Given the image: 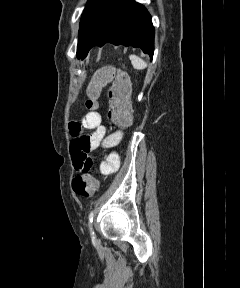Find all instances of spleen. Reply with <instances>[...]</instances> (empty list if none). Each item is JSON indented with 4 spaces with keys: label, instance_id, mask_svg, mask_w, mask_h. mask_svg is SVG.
<instances>
[{
    "label": "spleen",
    "instance_id": "3e777b00",
    "mask_svg": "<svg viewBox=\"0 0 240 288\" xmlns=\"http://www.w3.org/2000/svg\"><path fill=\"white\" fill-rule=\"evenodd\" d=\"M129 58L135 69L141 70L147 67V63L144 60H142L140 57L136 55H130Z\"/></svg>",
    "mask_w": 240,
    "mask_h": 288
}]
</instances>
